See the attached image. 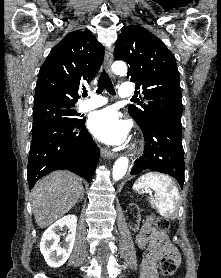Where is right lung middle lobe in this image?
I'll return each instance as SVG.
<instances>
[{
	"mask_svg": "<svg viewBox=\"0 0 221 278\" xmlns=\"http://www.w3.org/2000/svg\"><path fill=\"white\" fill-rule=\"evenodd\" d=\"M75 103L48 101L34 105L32 133L52 125H75L81 121L75 110Z\"/></svg>",
	"mask_w": 221,
	"mask_h": 278,
	"instance_id": "1",
	"label": "right lung middle lobe"
}]
</instances>
